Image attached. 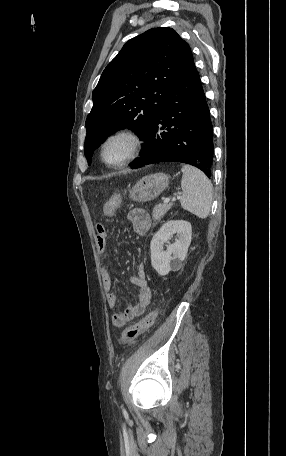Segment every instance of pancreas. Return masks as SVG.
Here are the masks:
<instances>
[{"label":"pancreas","mask_w":286,"mask_h":456,"mask_svg":"<svg viewBox=\"0 0 286 456\" xmlns=\"http://www.w3.org/2000/svg\"><path fill=\"white\" fill-rule=\"evenodd\" d=\"M172 204H158L154 207L152 217L154 221H160L161 218L169 211Z\"/></svg>","instance_id":"pancreas-1"}]
</instances>
